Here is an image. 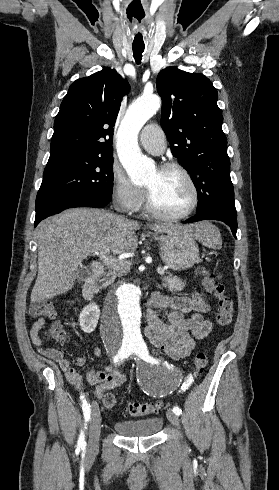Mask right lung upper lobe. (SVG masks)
I'll return each instance as SVG.
<instances>
[{
    "mask_svg": "<svg viewBox=\"0 0 279 490\" xmlns=\"http://www.w3.org/2000/svg\"><path fill=\"white\" fill-rule=\"evenodd\" d=\"M128 92L110 68L72 83L55 118L48 163L113 150V126Z\"/></svg>",
    "mask_w": 279,
    "mask_h": 490,
    "instance_id": "cb5924a9",
    "label": "right lung upper lobe"
}]
</instances>
